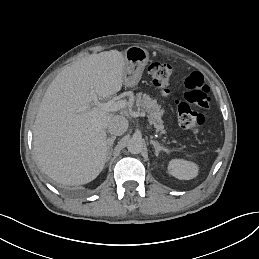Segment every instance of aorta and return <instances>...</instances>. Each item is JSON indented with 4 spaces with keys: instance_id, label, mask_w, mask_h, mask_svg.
<instances>
[{
    "instance_id": "obj_1",
    "label": "aorta",
    "mask_w": 259,
    "mask_h": 259,
    "mask_svg": "<svg viewBox=\"0 0 259 259\" xmlns=\"http://www.w3.org/2000/svg\"><path fill=\"white\" fill-rule=\"evenodd\" d=\"M127 149L132 154H139L143 150V142L138 138H131L127 143Z\"/></svg>"
}]
</instances>
